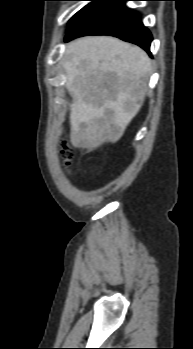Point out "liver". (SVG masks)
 Instances as JSON below:
<instances>
[{
  "label": "liver",
  "mask_w": 193,
  "mask_h": 349,
  "mask_svg": "<svg viewBox=\"0 0 193 349\" xmlns=\"http://www.w3.org/2000/svg\"><path fill=\"white\" fill-rule=\"evenodd\" d=\"M63 66L73 99L72 145L93 150L117 142L147 92L151 61L145 51L113 37H82L67 44Z\"/></svg>",
  "instance_id": "1"
}]
</instances>
